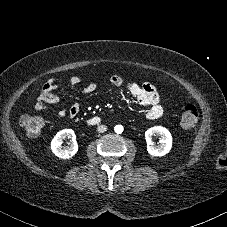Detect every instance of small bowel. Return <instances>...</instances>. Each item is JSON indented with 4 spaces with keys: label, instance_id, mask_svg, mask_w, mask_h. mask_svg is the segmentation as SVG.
<instances>
[{
    "label": "small bowel",
    "instance_id": "c3829d8e",
    "mask_svg": "<svg viewBox=\"0 0 227 227\" xmlns=\"http://www.w3.org/2000/svg\"><path fill=\"white\" fill-rule=\"evenodd\" d=\"M79 81L78 77L72 79V85L74 86ZM111 86L119 88L124 86V80L120 75H113L109 79ZM127 91L135 96L142 107L147 108L146 117L148 119H158L163 114V106L159 93L154 85L149 82H144L139 85L136 83H128L125 85ZM58 85L54 78H50L44 82L41 87L40 94L37 96L34 102V109L38 111L47 110L50 105L57 104L60 101L59 95L56 93ZM97 84L91 83L83 89L84 94H92L96 91ZM120 93H117V97ZM80 113L79 103L72 104L69 108L65 105H61L58 116L64 119L66 116L75 118Z\"/></svg>",
    "mask_w": 227,
    "mask_h": 227
}]
</instances>
